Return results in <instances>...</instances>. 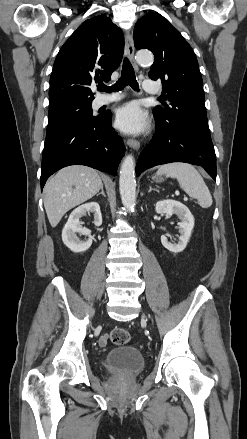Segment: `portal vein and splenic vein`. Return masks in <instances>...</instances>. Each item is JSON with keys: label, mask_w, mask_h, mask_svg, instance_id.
I'll return each instance as SVG.
<instances>
[{"label": "portal vein and splenic vein", "mask_w": 247, "mask_h": 439, "mask_svg": "<svg viewBox=\"0 0 247 439\" xmlns=\"http://www.w3.org/2000/svg\"><path fill=\"white\" fill-rule=\"evenodd\" d=\"M184 200H185V201H187V200H188V198H187V197H184Z\"/></svg>", "instance_id": "1"}]
</instances>
